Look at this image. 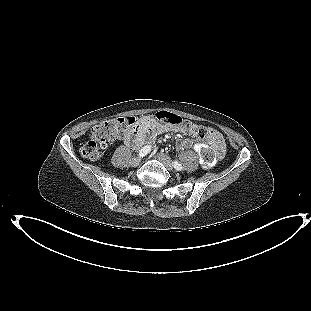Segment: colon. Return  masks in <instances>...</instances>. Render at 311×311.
I'll return each mask as SVG.
<instances>
[{
  "instance_id": "1",
  "label": "colon",
  "mask_w": 311,
  "mask_h": 311,
  "mask_svg": "<svg viewBox=\"0 0 311 311\" xmlns=\"http://www.w3.org/2000/svg\"><path fill=\"white\" fill-rule=\"evenodd\" d=\"M156 118L163 124L178 127L183 132L189 133L198 143L212 139L211 133L206 128L183 119L179 115L159 111ZM137 124L136 118L131 116L116 117L99 122L92 128L89 139L80 146L81 155L90 160L101 158L110 143L126 137L136 128ZM218 141L221 140L218 139ZM199 154L204 164L212 165L217 159L223 157L224 145L219 143L218 147L204 146L200 149Z\"/></svg>"
}]
</instances>
